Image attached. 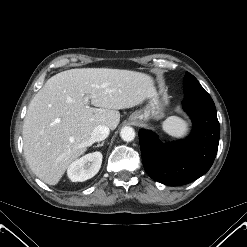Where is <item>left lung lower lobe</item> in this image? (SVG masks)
<instances>
[{
    "mask_svg": "<svg viewBox=\"0 0 247 247\" xmlns=\"http://www.w3.org/2000/svg\"><path fill=\"white\" fill-rule=\"evenodd\" d=\"M183 107L193 122L190 136L168 146L147 131L139 132L142 161L149 176L165 185L179 186L204 175L215 159L220 137L216 108L196 78L184 80Z\"/></svg>",
    "mask_w": 247,
    "mask_h": 247,
    "instance_id": "1",
    "label": "left lung lower lobe"
}]
</instances>
